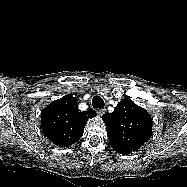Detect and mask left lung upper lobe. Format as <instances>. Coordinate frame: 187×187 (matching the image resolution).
Wrapping results in <instances>:
<instances>
[{
  "label": "left lung upper lobe",
  "instance_id": "1",
  "mask_svg": "<svg viewBox=\"0 0 187 187\" xmlns=\"http://www.w3.org/2000/svg\"><path fill=\"white\" fill-rule=\"evenodd\" d=\"M112 148L128 155L147 142L152 135V118L142 107L130 98H124L114 112L102 116Z\"/></svg>",
  "mask_w": 187,
  "mask_h": 187
}]
</instances>
